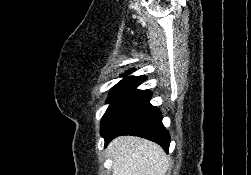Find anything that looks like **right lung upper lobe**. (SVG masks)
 I'll list each match as a JSON object with an SVG mask.
<instances>
[{"label":"right lung upper lobe","instance_id":"obj_1","mask_svg":"<svg viewBox=\"0 0 251 175\" xmlns=\"http://www.w3.org/2000/svg\"><path fill=\"white\" fill-rule=\"evenodd\" d=\"M126 73H127V74H128V73H131V71H127ZM127 78H133V79L137 80L138 82H139V81H144V80H146V76L127 77Z\"/></svg>","mask_w":251,"mask_h":175}]
</instances>
